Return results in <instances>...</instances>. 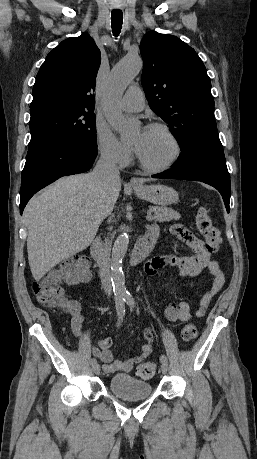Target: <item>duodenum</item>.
<instances>
[{
	"label": "duodenum",
	"mask_w": 257,
	"mask_h": 459,
	"mask_svg": "<svg viewBox=\"0 0 257 459\" xmlns=\"http://www.w3.org/2000/svg\"><path fill=\"white\" fill-rule=\"evenodd\" d=\"M157 235V231H147V233L137 242L130 255V263L132 265L140 263L149 254L157 238ZM102 244L103 240L100 236L94 240L92 248L94 257L98 258L100 256Z\"/></svg>",
	"instance_id": "1"
}]
</instances>
